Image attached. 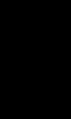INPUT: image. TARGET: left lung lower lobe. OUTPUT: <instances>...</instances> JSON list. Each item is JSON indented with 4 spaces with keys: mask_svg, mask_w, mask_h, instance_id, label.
<instances>
[{
    "mask_svg": "<svg viewBox=\"0 0 71 119\" xmlns=\"http://www.w3.org/2000/svg\"><path fill=\"white\" fill-rule=\"evenodd\" d=\"M53 82L59 86H63V87H70V81H69V77H68V72L66 70H64L61 74V76L55 80H53Z\"/></svg>",
    "mask_w": 71,
    "mask_h": 119,
    "instance_id": "obj_1",
    "label": "left lung lower lobe"
}]
</instances>
